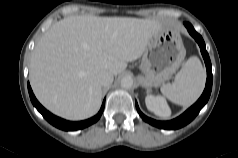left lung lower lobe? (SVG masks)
<instances>
[{
  "mask_svg": "<svg viewBox=\"0 0 238 158\" xmlns=\"http://www.w3.org/2000/svg\"><path fill=\"white\" fill-rule=\"evenodd\" d=\"M184 25L186 26L188 32L194 39L197 41V43L200 46L202 56L204 58L206 69H207V80H206V87L202 94V96L199 98V100L191 106L187 111H185L182 115L179 117L171 120V121H156L154 119H151L147 116H145L139 109L138 104L136 102V108L139 113V115L142 117V119L148 123H150L153 126H156L158 128L162 129H178L185 125H187L189 122H191L199 113V111L202 109V107L207 103L211 90H212V71H211V62L209 55L205 48V43L203 38L194 30L193 26L190 23L185 22Z\"/></svg>",
  "mask_w": 238,
  "mask_h": 158,
  "instance_id": "obj_1",
  "label": "left lung lower lobe"
}]
</instances>
